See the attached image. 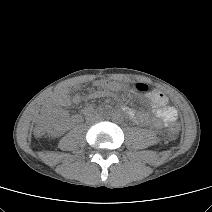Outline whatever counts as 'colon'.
Instances as JSON below:
<instances>
[{"mask_svg":"<svg viewBox=\"0 0 212 212\" xmlns=\"http://www.w3.org/2000/svg\"><path fill=\"white\" fill-rule=\"evenodd\" d=\"M97 87L100 91H102L105 94H108L112 91L113 86L110 82H108L105 79H102L98 82ZM135 88L139 92H146L149 87L146 84L138 83L135 85ZM53 130V125L49 120H43L37 123L34 128L33 132L34 135L37 137L45 136L46 134L50 133ZM179 132V127L176 124H173L169 128V136L175 137Z\"/></svg>","mask_w":212,"mask_h":212,"instance_id":"colon-1","label":"colon"}]
</instances>
